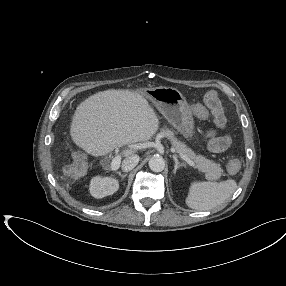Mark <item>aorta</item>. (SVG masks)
Listing matches in <instances>:
<instances>
[{
    "label": "aorta",
    "instance_id": "aorta-1",
    "mask_svg": "<svg viewBox=\"0 0 286 286\" xmlns=\"http://www.w3.org/2000/svg\"><path fill=\"white\" fill-rule=\"evenodd\" d=\"M149 167L154 172H161L165 169V160L159 155H154L149 160Z\"/></svg>",
    "mask_w": 286,
    "mask_h": 286
}]
</instances>
